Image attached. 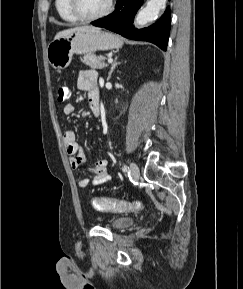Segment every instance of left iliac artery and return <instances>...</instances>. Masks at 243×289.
Segmentation results:
<instances>
[{"mask_svg": "<svg viewBox=\"0 0 243 289\" xmlns=\"http://www.w3.org/2000/svg\"><path fill=\"white\" fill-rule=\"evenodd\" d=\"M122 170H123L124 172H127V171H128V167H127V166H123Z\"/></svg>", "mask_w": 243, "mask_h": 289, "instance_id": "44dca946", "label": "left iliac artery"}]
</instances>
